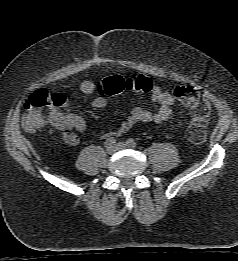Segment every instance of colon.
<instances>
[{"label": "colon", "mask_w": 238, "mask_h": 261, "mask_svg": "<svg viewBox=\"0 0 238 261\" xmlns=\"http://www.w3.org/2000/svg\"><path fill=\"white\" fill-rule=\"evenodd\" d=\"M152 81L142 74L123 77L114 75L104 79L98 85V92L106 96L121 94L125 91L150 92ZM174 96L189 107L191 120L187 128L188 140L201 144L206 139V127L211 115V105L207 96L198 88L190 85H177ZM64 95L46 90L34 92L24 103L23 125L29 132H34L46 121L45 111L66 105Z\"/></svg>", "instance_id": "1"}]
</instances>
